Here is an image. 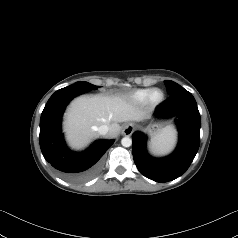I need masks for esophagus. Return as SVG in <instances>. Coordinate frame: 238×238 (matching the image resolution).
Returning <instances> with one entry per match:
<instances>
[{
	"mask_svg": "<svg viewBox=\"0 0 238 238\" xmlns=\"http://www.w3.org/2000/svg\"><path fill=\"white\" fill-rule=\"evenodd\" d=\"M134 130H135L134 124L129 123L124 127L123 133L124 135H131L134 132Z\"/></svg>",
	"mask_w": 238,
	"mask_h": 238,
	"instance_id": "esophagus-1",
	"label": "esophagus"
}]
</instances>
